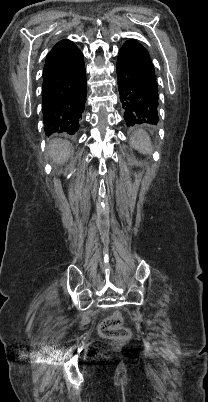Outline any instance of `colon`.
I'll list each match as a JSON object with an SVG mask.
<instances>
[{
	"label": "colon",
	"mask_w": 208,
	"mask_h": 402,
	"mask_svg": "<svg viewBox=\"0 0 208 402\" xmlns=\"http://www.w3.org/2000/svg\"><path fill=\"white\" fill-rule=\"evenodd\" d=\"M100 332L105 338L119 335L122 338L129 336L128 327L126 324H122L121 318H104L103 324L100 325Z\"/></svg>",
	"instance_id": "5ec220e1"
}]
</instances>
